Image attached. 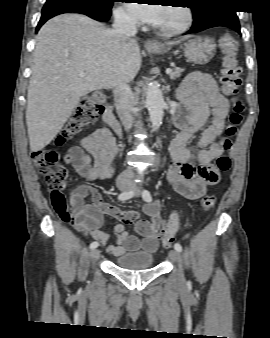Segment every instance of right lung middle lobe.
Segmentation results:
<instances>
[{"instance_id": "right-lung-middle-lobe-1", "label": "right lung middle lobe", "mask_w": 270, "mask_h": 338, "mask_svg": "<svg viewBox=\"0 0 270 338\" xmlns=\"http://www.w3.org/2000/svg\"><path fill=\"white\" fill-rule=\"evenodd\" d=\"M116 0H47L45 4H83L99 8L111 9Z\"/></svg>"}]
</instances>
